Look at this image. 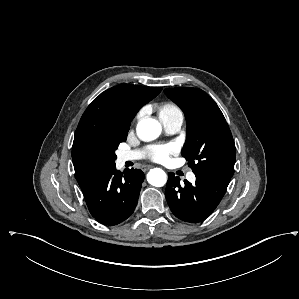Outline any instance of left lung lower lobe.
I'll return each instance as SVG.
<instances>
[{
  "mask_svg": "<svg viewBox=\"0 0 299 299\" xmlns=\"http://www.w3.org/2000/svg\"><path fill=\"white\" fill-rule=\"evenodd\" d=\"M195 175V185L187 180L180 184V179L169 172L166 184V199L172 213L189 223L204 221L218 206L227 189V185L215 178Z\"/></svg>",
  "mask_w": 299,
  "mask_h": 299,
  "instance_id": "0a47b994",
  "label": "left lung lower lobe"
}]
</instances>
